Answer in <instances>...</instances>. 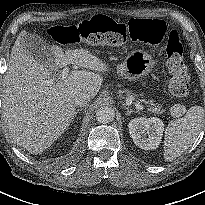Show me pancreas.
<instances>
[{"label": "pancreas", "instance_id": "obj_1", "mask_svg": "<svg viewBox=\"0 0 205 205\" xmlns=\"http://www.w3.org/2000/svg\"><path fill=\"white\" fill-rule=\"evenodd\" d=\"M147 110L154 114H162L165 112V110L162 108V105H157L153 100L148 101Z\"/></svg>", "mask_w": 205, "mask_h": 205}]
</instances>
